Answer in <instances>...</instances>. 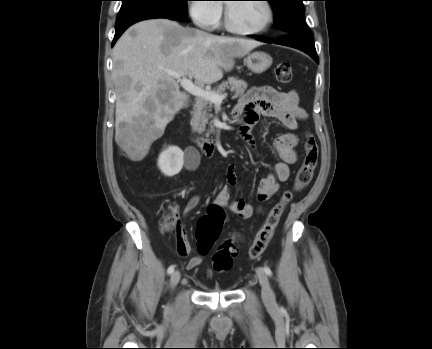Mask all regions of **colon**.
Returning <instances> with one entry per match:
<instances>
[{
	"label": "colon",
	"instance_id": "5ec220e1",
	"mask_svg": "<svg viewBox=\"0 0 432 349\" xmlns=\"http://www.w3.org/2000/svg\"><path fill=\"white\" fill-rule=\"evenodd\" d=\"M275 77L280 83H288L292 79V69L289 63L282 62L275 67ZM319 149L315 137L307 133L304 141V158L298 169L293 186L286 190L280 199L270 209L263 225L257 232L248 250V256L254 260L259 258L274 236L279 221L294 196L304 190L312 181L318 164ZM223 209L213 205L209 213L202 217L196 228L198 251L205 255L212 248L221 231ZM176 225L174 213H168L162 222L165 230H171ZM237 255V247L230 241L221 244L212 257L213 268L217 272H226L233 266Z\"/></svg>",
	"mask_w": 432,
	"mask_h": 349
}]
</instances>
